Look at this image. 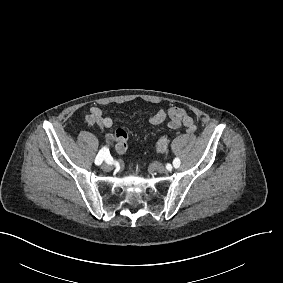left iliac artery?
<instances>
[{"label": "left iliac artery", "mask_w": 283, "mask_h": 283, "mask_svg": "<svg viewBox=\"0 0 283 283\" xmlns=\"http://www.w3.org/2000/svg\"><path fill=\"white\" fill-rule=\"evenodd\" d=\"M173 166H174L175 168H178V167L180 166V160H179L178 158H175V159L173 160Z\"/></svg>", "instance_id": "left-iliac-artery-1"}]
</instances>
